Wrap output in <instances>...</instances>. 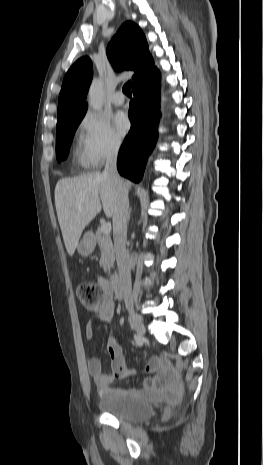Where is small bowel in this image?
<instances>
[{
	"label": "small bowel",
	"instance_id": "obj_1",
	"mask_svg": "<svg viewBox=\"0 0 263 465\" xmlns=\"http://www.w3.org/2000/svg\"><path fill=\"white\" fill-rule=\"evenodd\" d=\"M99 284L105 289L103 300L95 307L91 308L94 318L91 319L85 330L87 340L94 338L95 326L98 322H106L114 314L115 302L113 290L109 282L103 278L99 279ZM107 353L110 358L112 371L110 373L103 370L101 361L96 357L88 359L89 375L94 382L100 397L116 396L123 394H141L144 397L159 401L163 399L176 400L181 392V384L175 370L170 363L162 358H151L145 370L153 374L147 378L142 390L117 389L112 387L115 379H122L132 374L125 363V357L119 344L114 339L107 342Z\"/></svg>",
	"mask_w": 263,
	"mask_h": 465
}]
</instances>
